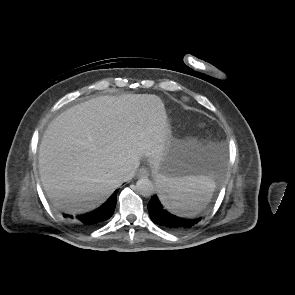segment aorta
<instances>
[{
  "instance_id": "1",
  "label": "aorta",
  "mask_w": 295,
  "mask_h": 295,
  "mask_svg": "<svg viewBox=\"0 0 295 295\" xmlns=\"http://www.w3.org/2000/svg\"><path fill=\"white\" fill-rule=\"evenodd\" d=\"M136 189L145 197H149L155 192V187L152 181L147 177H142L136 182Z\"/></svg>"
}]
</instances>
